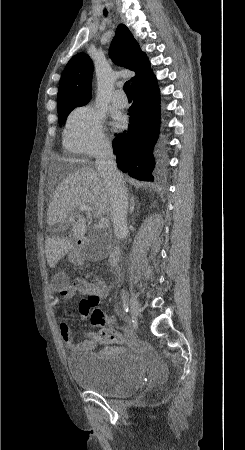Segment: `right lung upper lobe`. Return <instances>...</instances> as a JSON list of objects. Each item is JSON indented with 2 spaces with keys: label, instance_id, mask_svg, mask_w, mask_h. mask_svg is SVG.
I'll use <instances>...</instances> for the list:
<instances>
[{
  "label": "right lung upper lobe",
  "instance_id": "obj_1",
  "mask_svg": "<svg viewBox=\"0 0 245 450\" xmlns=\"http://www.w3.org/2000/svg\"><path fill=\"white\" fill-rule=\"evenodd\" d=\"M114 62L136 73L131 79L132 86L151 71L149 60L125 25H119L111 44ZM93 64L85 53L71 58L63 71L59 90L58 105L66 103L87 104L91 99Z\"/></svg>",
  "mask_w": 245,
  "mask_h": 450
}]
</instances>
